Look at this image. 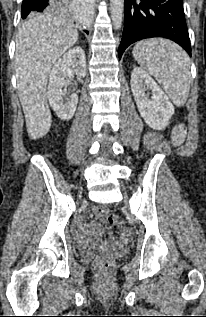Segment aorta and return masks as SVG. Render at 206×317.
I'll use <instances>...</instances> for the list:
<instances>
[{"label":"aorta","instance_id":"obj_1","mask_svg":"<svg viewBox=\"0 0 206 317\" xmlns=\"http://www.w3.org/2000/svg\"><path fill=\"white\" fill-rule=\"evenodd\" d=\"M110 10L114 29L118 30L123 21L124 0H110Z\"/></svg>","mask_w":206,"mask_h":317}]
</instances>
